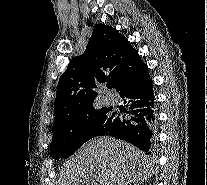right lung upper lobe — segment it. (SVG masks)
<instances>
[{"instance_id":"cb5924a9","label":"right lung upper lobe","mask_w":207,"mask_h":185,"mask_svg":"<svg viewBox=\"0 0 207 185\" xmlns=\"http://www.w3.org/2000/svg\"><path fill=\"white\" fill-rule=\"evenodd\" d=\"M148 71L130 42L116 29L95 26L84 53L74 57L59 79L53 128L92 111L99 84L113 82L115 89Z\"/></svg>"}]
</instances>
